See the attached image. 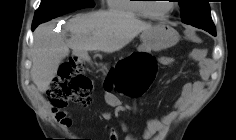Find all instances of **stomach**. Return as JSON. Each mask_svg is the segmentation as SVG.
I'll list each match as a JSON object with an SVG mask.
<instances>
[{"instance_id": "stomach-1", "label": "stomach", "mask_w": 236, "mask_h": 140, "mask_svg": "<svg viewBox=\"0 0 236 140\" xmlns=\"http://www.w3.org/2000/svg\"><path fill=\"white\" fill-rule=\"evenodd\" d=\"M142 51H160L176 45L179 33L166 23H159L142 34Z\"/></svg>"}]
</instances>
